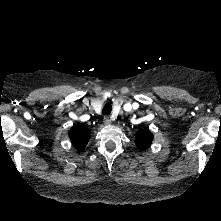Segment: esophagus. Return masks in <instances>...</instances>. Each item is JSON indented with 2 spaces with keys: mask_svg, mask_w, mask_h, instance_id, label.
Masks as SVG:
<instances>
[{
  "mask_svg": "<svg viewBox=\"0 0 221 221\" xmlns=\"http://www.w3.org/2000/svg\"><path fill=\"white\" fill-rule=\"evenodd\" d=\"M104 124L105 125H110L111 124V119L108 116L104 117Z\"/></svg>",
  "mask_w": 221,
  "mask_h": 221,
  "instance_id": "34e87169",
  "label": "esophagus"
}]
</instances>
